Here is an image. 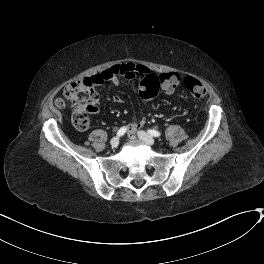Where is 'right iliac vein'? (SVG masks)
Masks as SVG:
<instances>
[{
  "label": "right iliac vein",
  "instance_id": "obj_1",
  "mask_svg": "<svg viewBox=\"0 0 264 264\" xmlns=\"http://www.w3.org/2000/svg\"><path fill=\"white\" fill-rule=\"evenodd\" d=\"M119 141H120L119 137H114V138L111 140V142H110L112 148H117V146H118V144H119Z\"/></svg>",
  "mask_w": 264,
  "mask_h": 264
}]
</instances>
